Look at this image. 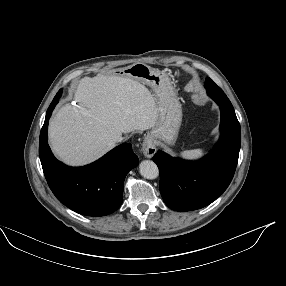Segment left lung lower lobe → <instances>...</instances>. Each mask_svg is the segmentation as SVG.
I'll return each mask as SVG.
<instances>
[{"instance_id":"left-lung-lower-lobe-1","label":"left lung lower lobe","mask_w":286,"mask_h":286,"mask_svg":"<svg viewBox=\"0 0 286 286\" xmlns=\"http://www.w3.org/2000/svg\"><path fill=\"white\" fill-rule=\"evenodd\" d=\"M221 110L219 142L198 162L172 158L159 150L153 161L160 170V192L175 211L203 208L229 186L237 166L241 144L240 124L229 99L215 101Z\"/></svg>"}]
</instances>
